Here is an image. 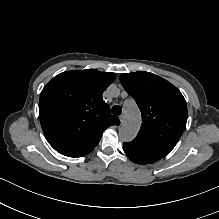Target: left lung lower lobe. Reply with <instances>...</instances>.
Returning <instances> with one entry per match:
<instances>
[{"mask_svg": "<svg viewBox=\"0 0 219 219\" xmlns=\"http://www.w3.org/2000/svg\"><path fill=\"white\" fill-rule=\"evenodd\" d=\"M130 160L133 161L134 163H137L136 161L132 160L131 158H130ZM137 164H138V163H137Z\"/></svg>", "mask_w": 219, "mask_h": 219, "instance_id": "0a47b994", "label": "left lung lower lobe"}]
</instances>
